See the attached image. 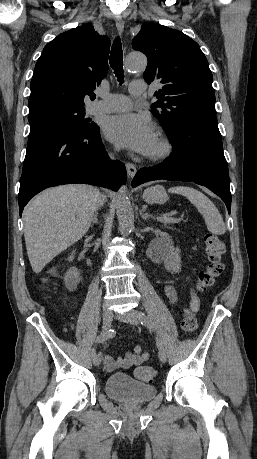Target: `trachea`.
Instances as JSON below:
<instances>
[{
  "label": "trachea",
  "instance_id": "3493384b",
  "mask_svg": "<svg viewBox=\"0 0 257 459\" xmlns=\"http://www.w3.org/2000/svg\"><path fill=\"white\" fill-rule=\"evenodd\" d=\"M110 65L114 70V73L120 82L123 83L124 79V70H123V52H122V44L119 37L114 40L112 45L111 53H110Z\"/></svg>",
  "mask_w": 257,
  "mask_h": 459
}]
</instances>
